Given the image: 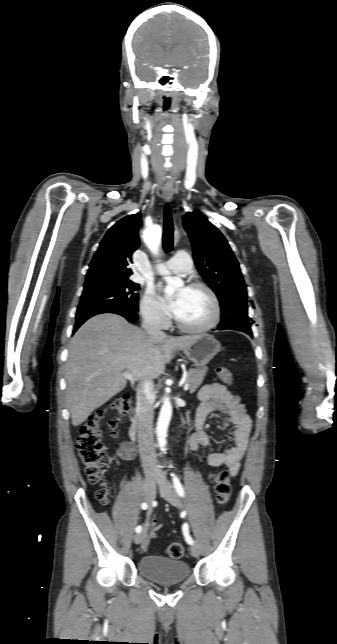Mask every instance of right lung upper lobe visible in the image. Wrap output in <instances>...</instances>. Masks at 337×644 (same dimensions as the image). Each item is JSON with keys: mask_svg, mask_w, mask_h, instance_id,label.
I'll return each mask as SVG.
<instances>
[{"mask_svg": "<svg viewBox=\"0 0 337 644\" xmlns=\"http://www.w3.org/2000/svg\"><path fill=\"white\" fill-rule=\"evenodd\" d=\"M141 213L128 215L116 222L106 233L89 265L86 282L97 279H128L133 252L139 247L138 230Z\"/></svg>", "mask_w": 337, "mask_h": 644, "instance_id": "obj_1", "label": "right lung upper lobe"}]
</instances>
